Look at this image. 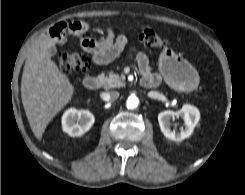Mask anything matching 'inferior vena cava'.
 <instances>
[{
    "mask_svg": "<svg viewBox=\"0 0 245 195\" xmlns=\"http://www.w3.org/2000/svg\"><path fill=\"white\" fill-rule=\"evenodd\" d=\"M119 97V92L117 91H110V92H104L101 93V98L104 101H109V100H116Z\"/></svg>",
    "mask_w": 245,
    "mask_h": 195,
    "instance_id": "1",
    "label": "inferior vena cava"
}]
</instances>
